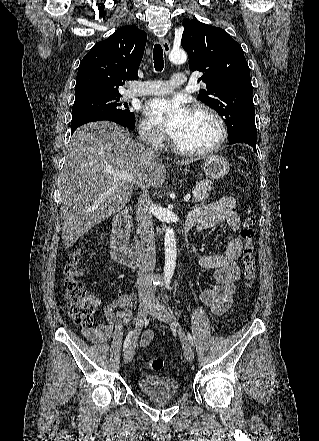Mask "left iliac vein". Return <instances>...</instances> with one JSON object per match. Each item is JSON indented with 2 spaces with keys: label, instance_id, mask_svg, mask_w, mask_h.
Listing matches in <instances>:
<instances>
[{
  "label": "left iliac vein",
  "instance_id": "4c4485c4",
  "mask_svg": "<svg viewBox=\"0 0 319 441\" xmlns=\"http://www.w3.org/2000/svg\"><path fill=\"white\" fill-rule=\"evenodd\" d=\"M152 304H158L157 300H154ZM150 313L160 321L173 326L177 330L182 343L184 355L189 361H192L194 359L193 349L173 312L169 309L157 311L152 308Z\"/></svg>",
  "mask_w": 319,
  "mask_h": 441
}]
</instances>
